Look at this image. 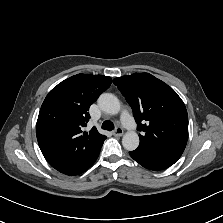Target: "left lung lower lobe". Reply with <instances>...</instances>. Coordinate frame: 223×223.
<instances>
[{"label":"left lung lower lobe","instance_id":"0a47b994","mask_svg":"<svg viewBox=\"0 0 223 223\" xmlns=\"http://www.w3.org/2000/svg\"><path fill=\"white\" fill-rule=\"evenodd\" d=\"M130 156L143 167L150 170H162L170 167L176 161L149 156L136 151L129 152Z\"/></svg>","mask_w":223,"mask_h":223}]
</instances>
